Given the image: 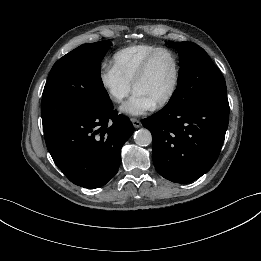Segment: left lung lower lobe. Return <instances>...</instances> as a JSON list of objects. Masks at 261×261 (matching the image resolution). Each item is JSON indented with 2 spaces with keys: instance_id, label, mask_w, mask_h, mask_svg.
Returning a JSON list of instances; mask_svg holds the SVG:
<instances>
[{
  "instance_id": "0a47b994",
  "label": "left lung lower lobe",
  "mask_w": 261,
  "mask_h": 261,
  "mask_svg": "<svg viewBox=\"0 0 261 261\" xmlns=\"http://www.w3.org/2000/svg\"><path fill=\"white\" fill-rule=\"evenodd\" d=\"M229 122L226 93L181 109L164 107L142 121L153 136L157 172L176 183L192 182L216 162Z\"/></svg>"
}]
</instances>
